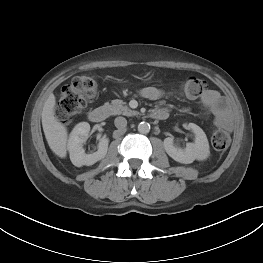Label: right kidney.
I'll list each match as a JSON object with an SVG mask.
<instances>
[{"mask_svg":"<svg viewBox=\"0 0 263 263\" xmlns=\"http://www.w3.org/2000/svg\"><path fill=\"white\" fill-rule=\"evenodd\" d=\"M90 131V125L87 122L78 123L68 140V150L70 160L73 165L81 167L83 165H93L105 157L108 150L109 139L102 138L98 144V150L92 154H86L83 149V142L87 138Z\"/></svg>","mask_w":263,"mask_h":263,"instance_id":"obj_1","label":"right kidney"}]
</instances>
